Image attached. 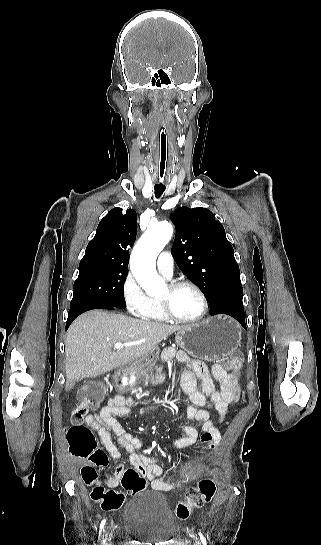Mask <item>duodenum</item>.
Here are the masks:
<instances>
[{
	"mask_svg": "<svg viewBox=\"0 0 321 545\" xmlns=\"http://www.w3.org/2000/svg\"><path fill=\"white\" fill-rule=\"evenodd\" d=\"M120 376H121V374L119 373V374L117 375V378H119Z\"/></svg>",
	"mask_w": 321,
	"mask_h": 545,
	"instance_id": "obj_1",
	"label": "duodenum"
}]
</instances>
